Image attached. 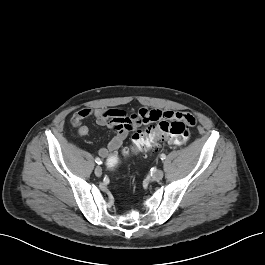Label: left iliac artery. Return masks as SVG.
Wrapping results in <instances>:
<instances>
[{
    "mask_svg": "<svg viewBox=\"0 0 265 265\" xmlns=\"http://www.w3.org/2000/svg\"><path fill=\"white\" fill-rule=\"evenodd\" d=\"M160 158H161V160H164V159H166V155L165 154H161Z\"/></svg>",
    "mask_w": 265,
    "mask_h": 265,
    "instance_id": "obj_1",
    "label": "left iliac artery"
}]
</instances>
